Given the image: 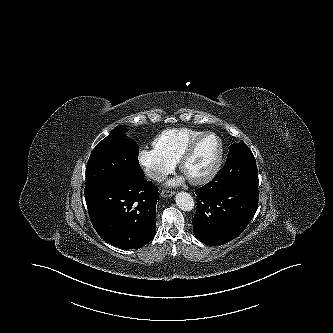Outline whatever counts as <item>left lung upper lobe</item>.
I'll use <instances>...</instances> for the list:
<instances>
[{
    "mask_svg": "<svg viewBox=\"0 0 333 333\" xmlns=\"http://www.w3.org/2000/svg\"><path fill=\"white\" fill-rule=\"evenodd\" d=\"M224 167L232 172L236 180L258 186V171L253 153L243 142L232 144Z\"/></svg>",
    "mask_w": 333,
    "mask_h": 333,
    "instance_id": "obj_1",
    "label": "left lung upper lobe"
}]
</instances>
